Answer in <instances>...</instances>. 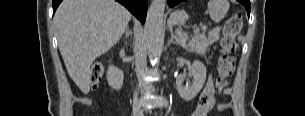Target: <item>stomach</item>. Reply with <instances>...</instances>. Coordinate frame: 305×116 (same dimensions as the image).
Listing matches in <instances>:
<instances>
[{
    "instance_id": "obj_1",
    "label": "stomach",
    "mask_w": 305,
    "mask_h": 116,
    "mask_svg": "<svg viewBox=\"0 0 305 116\" xmlns=\"http://www.w3.org/2000/svg\"><path fill=\"white\" fill-rule=\"evenodd\" d=\"M188 19V15L184 11H174L171 13L169 22L172 25H184L186 20Z\"/></svg>"
}]
</instances>
